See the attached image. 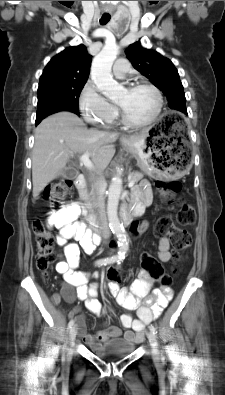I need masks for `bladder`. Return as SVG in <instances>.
I'll list each match as a JSON object with an SVG mask.
<instances>
[{"instance_id": "bladder-1", "label": "bladder", "mask_w": 225, "mask_h": 395, "mask_svg": "<svg viewBox=\"0 0 225 395\" xmlns=\"http://www.w3.org/2000/svg\"><path fill=\"white\" fill-rule=\"evenodd\" d=\"M135 344L124 339L114 338L102 345H94L93 353L100 358H119L130 355L135 351Z\"/></svg>"}]
</instances>
